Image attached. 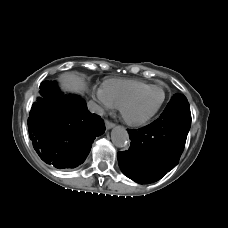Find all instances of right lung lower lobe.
Listing matches in <instances>:
<instances>
[{"label": "right lung lower lobe", "instance_id": "obj_1", "mask_svg": "<svg viewBox=\"0 0 228 228\" xmlns=\"http://www.w3.org/2000/svg\"><path fill=\"white\" fill-rule=\"evenodd\" d=\"M43 98L33 103L28 131L40 158L54 167L74 168L83 163L96 136L105 131L100 116L87 110L78 95H64L56 83L40 85Z\"/></svg>", "mask_w": 228, "mask_h": 228}]
</instances>
